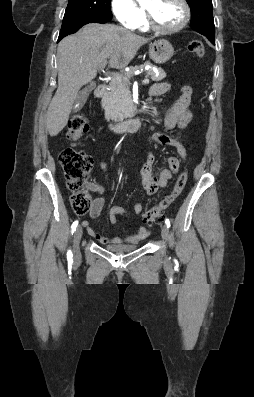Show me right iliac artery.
<instances>
[{
  "label": "right iliac artery",
  "mask_w": 254,
  "mask_h": 397,
  "mask_svg": "<svg viewBox=\"0 0 254 397\" xmlns=\"http://www.w3.org/2000/svg\"><path fill=\"white\" fill-rule=\"evenodd\" d=\"M78 226V221L76 220V221H74L73 222V224H72V226H71V233H73L75 230H76V227ZM72 252L69 250L68 252H67V258H68V261H72Z\"/></svg>",
  "instance_id": "obj_1"
}]
</instances>
